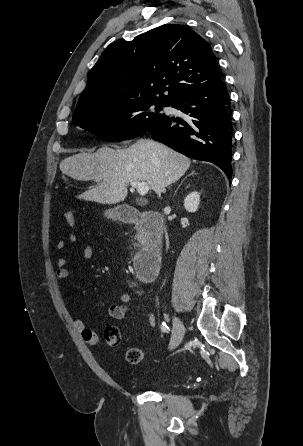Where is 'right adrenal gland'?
Segmentation results:
<instances>
[{
	"mask_svg": "<svg viewBox=\"0 0 303 446\" xmlns=\"http://www.w3.org/2000/svg\"><path fill=\"white\" fill-rule=\"evenodd\" d=\"M194 174H195V172L192 171L188 176H190V175H194ZM188 176H186V177L181 181L180 185L178 186L177 190L175 191V194L177 193L179 187L181 186V184L184 182V180H185Z\"/></svg>",
	"mask_w": 303,
	"mask_h": 446,
	"instance_id": "obj_1",
	"label": "right adrenal gland"
}]
</instances>
